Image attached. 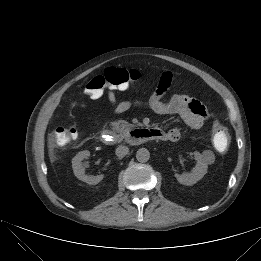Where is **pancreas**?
Wrapping results in <instances>:
<instances>
[{
	"instance_id": "pancreas-1",
	"label": "pancreas",
	"mask_w": 261,
	"mask_h": 261,
	"mask_svg": "<svg viewBox=\"0 0 261 261\" xmlns=\"http://www.w3.org/2000/svg\"><path fill=\"white\" fill-rule=\"evenodd\" d=\"M111 126L122 138L123 135H125L130 130L132 125L124 120H119V121L111 122Z\"/></svg>"
}]
</instances>
